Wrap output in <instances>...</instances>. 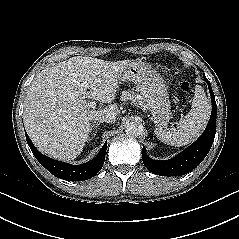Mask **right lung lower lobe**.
I'll return each instance as SVG.
<instances>
[{"label":"right lung lower lobe","mask_w":239,"mask_h":239,"mask_svg":"<svg viewBox=\"0 0 239 239\" xmlns=\"http://www.w3.org/2000/svg\"><path fill=\"white\" fill-rule=\"evenodd\" d=\"M26 140L36 159L54 176L68 181H83L95 176L102 168L105 160L107 141L98 155L91 161L81 165H71L51 159L41 154L33 145L27 133Z\"/></svg>","instance_id":"1"}]
</instances>
